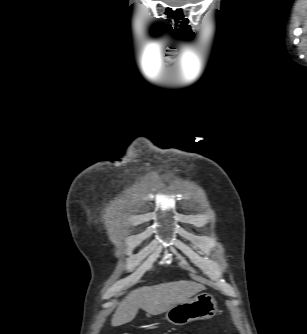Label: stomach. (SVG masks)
I'll use <instances>...</instances> for the list:
<instances>
[{"instance_id":"1","label":"stomach","mask_w":307,"mask_h":334,"mask_svg":"<svg viewBox=\"0 0 307 334\" xmlns=\"http://www.w3.org/2000/svg\"><path fill=\"white\" fill-rule=\"evenodd\" d=\"M217 311V302L208 293H200L166 311L165 318L174 325H185L196 320L212 318Z\"/></svg>"}]
</instances>
